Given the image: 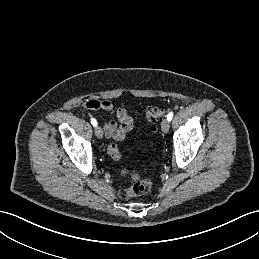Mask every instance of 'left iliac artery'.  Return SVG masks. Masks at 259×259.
<instances>
[{
  "label": "left iliac artery",
  "mask_w": 259,
  "mask_h": 259,
  "mask_svg": "<svg viewBox=\"0 0 259 259\" xmlns=\"http://www.w3.org/2000/svg\"><path fill=\"white\" fill-rule=\"evenodd\" d=\"M172 118H173V112H170V113L167 115V119H168L169 121H171Z\"/></svg>",
  "instance_id": "1"
}]
</instances>
